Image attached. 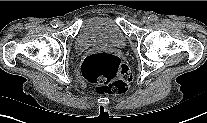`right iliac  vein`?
Here are the masks:
<instances>
[{
	"instance_id": "1",
	"label": "right iliac vein",
	"mask_w": 207,
	"mask_h": 123,
	"mask_svg": "<svg viewBox=\"0 0 207 123\" xmlns=\"http://www.w3.org/2000/svg\"><path fill=\"white\" fill-rule=\"evenodd\" d=\"M58 26L61 28L63 26V23L62 22H59L58 23Z\"/></svg>"
}]
</instances>
